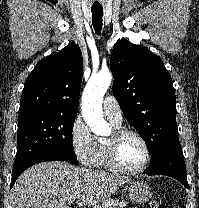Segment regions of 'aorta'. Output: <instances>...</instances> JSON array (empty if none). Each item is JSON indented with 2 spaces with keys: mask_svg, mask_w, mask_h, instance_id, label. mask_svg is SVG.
<instances>
[{
  "mask_svg": "<svg viewBox=\"0 0 199 208\" xmlns=\"http://www.w3.org/2000/svg\"><path fill=\"white\" fill-rule=\"evenodd\" d=\"M111 81V72L102 70L98 74L91 76L82 95L83 118L96 135H107L111 129L102 114L103 97Z\"/></svg>",
  "mask_w": 199,
  "mask_h": 208,
  "instance_id": "762f6f07",
  "label": "aorta"
}]
</instances>
